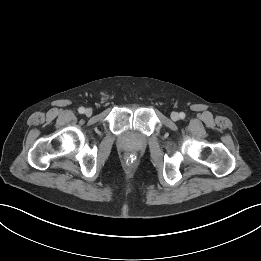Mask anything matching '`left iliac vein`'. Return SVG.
I'll list each match as a JSON object with an SVG mask.
<instances>
[{
    "label": "left iliac vein",
    "mask_w": 261,
    "mask_h": 261,
    "mask_svg": "<svg viewBox=\"0 0 261 261\" xmlns=\"http://www.w3.org/2000/svg\"><path fill=\"white\" fill-rule=\"evenodd\" d=\"M171 119L173 121H177L179 119V114L177 112H172L171 113Z\"/></svg>",
    "instance_id": "left-iliac-vein-1"
}]
</instances>
